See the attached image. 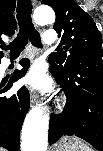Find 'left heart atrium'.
<instances>
[{
  "label": "left heart atrium",
  "mask_w": 103,
  "mask_h": 151,
  "mask_svg": "<svg viewBox=\"0 0 103 151\" xmlns=\"http://www.w3.org/2000/svg\"><path fill=\"white\" fill-rule=\"evenodd\" d=\"M22 82L29 88L37 91H46L50 86L45 69L40 63H36L30 68Z\"/></svg>",
  "instance_id": "1"
}]
</instances>
